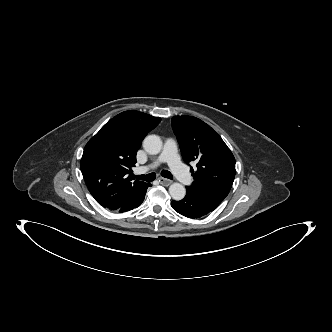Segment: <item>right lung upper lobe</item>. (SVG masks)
I'll return each mask as SVG.
<instances>
[{
  "label": "right lung upper lobe",
  "instance_id": "cb5924a9",
  "mask_svg": "<svg viewBox=\"0 0 332 332\" xmlns=\"http://www.w3.org/2000/svg\"><path fill=\"white\" fill-rule=\"evenodd\" d=\"M160 121L128 110L109 120L86 144L80 167L88 190L100 205H120L146 184L132 181L131 168L142 140Z\"/></svg>",
  "mask_w": 332,
  "mask_h": 332
}]
</instances>
